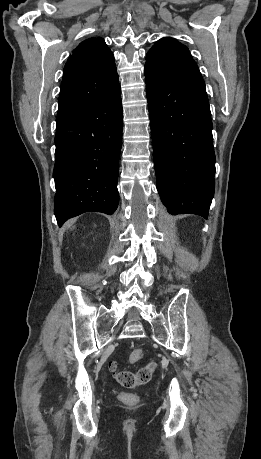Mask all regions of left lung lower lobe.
<instances>
[{"label":"left lung lower lobe","instance_id":"obj_1","mask_svg":"<svg viewBox=\"0 0 261 459\" xmlns=\"http://www.w3.org/2000/svg\"><path fill=\"white\" fill-rule=\"evenodd\" d=\"M157 189L170 214L207 219L214 195L215 154L204 81L144 67Z\"/></svg>","mask_w":261,"mask_h":459}]
</instances>
